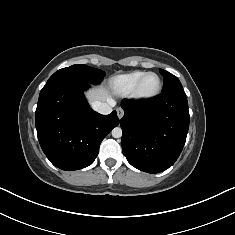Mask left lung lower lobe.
I'll return each mask as SVG.
<instances>
[{
	"mask_svg": "<svg viewBox=\"0 0 235 235\" xmlns=\"http://www.w3.org/2000/svg\"><path fill=\"white\" fill-rule=\"evenodd\" d=\"M121 106L122 149L127 161L148 173L171 167L183 149L189 128L184 91L164 92L145 102L123 100Z\"/></svg>",
	"mask_w": 235,
	"mask_h": 235,
	"instance_id": "1",
	"label": "left lung lower lobe"
}]
</instances>
